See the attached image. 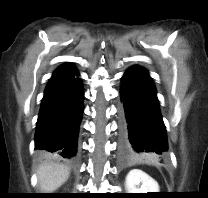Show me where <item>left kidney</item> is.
I'll return each instance as SVG.
<instances>
[{
  "instance_id": "5707ae66",
  "label": "left kidney",
  "mask_w": 208,
  "mask_h": 198,
  "mask_svg": "<svg viewBox=\"0 0 208 198\" xmlns=\"http://www.w3.org/2000/svg\"><path fill=\"white\" fill-rule=\"evenodd\" d=\"M127 193L159 192L158 183L139 169L131 170L125 180Z\"/></svg>"
}]
</instances>
